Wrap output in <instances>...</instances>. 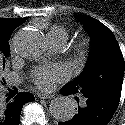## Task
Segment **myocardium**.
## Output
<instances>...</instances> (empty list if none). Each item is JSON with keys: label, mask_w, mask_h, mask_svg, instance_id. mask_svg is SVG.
<instances>
[{"label": "myocardium", "mask_w": 125, "mask_h": 125, "mask_svg": "<svg viewBox=\"0 0 125 125\" xmlns=\"http://www.w3.org/2000/svg\"><path fill=\"white\" fill-rule=\"evenodd\" d=\"M89 41L87 39L79 40L74 46V54L77 60H84L89 53Z\"/></svg>", "instance_id": "1"}]
</instances>
